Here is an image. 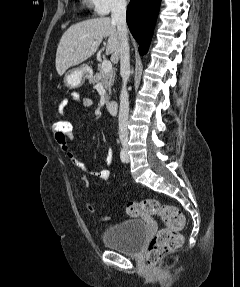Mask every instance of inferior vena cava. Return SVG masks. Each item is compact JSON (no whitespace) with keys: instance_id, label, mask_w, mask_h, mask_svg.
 Wrapping results in <instances>:
<instances>
[{"instance_id":"602c4592","label":"inferior vena cava","mask_w":240,"mask_h":287,"mask_svg":"<svg viewBox=\"0 0 240 287\" xmlns=\"http://www.w3.org/2000/svg\"><path fill=\"white\" fill-rule=\"evenodd\" d=\"M126 0H113L111 19L116 24L120 40V75L123 85L120 94L119 109V138L121 144L126 147L128 143V115H129V95L126 84L130 76V54L128 43V31L126 25Z\"/></svg>"}]
</instances>
